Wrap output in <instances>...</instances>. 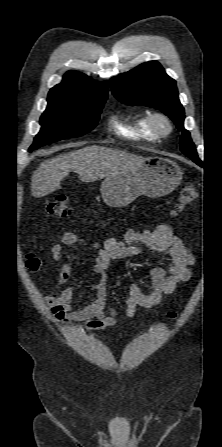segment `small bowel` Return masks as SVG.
I'll return each instance as SVG.
<instances>
[{"label": "small bowel", "instance_id": "c3829d8e", "mask_svg": "<svg viewBox=\"0 0 222 447\" xmlns=\"http://www.w3.org/2000/svg\"><path fill=\"white\" fill-rule=\"evenodd\" d=\"M85 240L74 233H65L58 243L52 245L50 251L54 261L63 257L64 246L82 247ZM142 247L152 252L164 255L167 259L165 267L151 269V287L148 292L137 284L129 288L126 308L123 314L132 318L138 308L153 309L164 301L167 295L175 293L178 286L191 277L193 255L176 236L174 228L165 223H158L152 230H130L125 241L114 237L105 239L101 244H95L97 256L92 265V271L99 275L97 282L90 284L95 294V300L79 310H72L73 288L62 290L58 296L46 298V304L52 315L63 323H79V329L92 330L112 327L120 312L106 305L105 285L106 269L114 260L133 258L141 253ZM71 265L66 264L58 275V285H64L70 279Z\"/></svg>", "mask_w": 222, "mask_h": 447}]
</instances>
